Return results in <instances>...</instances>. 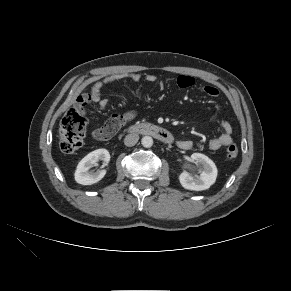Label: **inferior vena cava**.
Masks as SVG:
<instances>
[{"label":"inferior vena cava","instance_id":"602c4592","mask_svg":"<svg viewBox=\"0 0 291 291\" xmlns=\"http://www.w3.org/2000/svg\"><path fill=\"white\" fill-rule=\"evenodd\" d=\"M139 140V135L136 133L128 134L124 139V144L128 147L134 146Z\"/></svg>","mask_w":291,"mask_h":291}]
</instances>
